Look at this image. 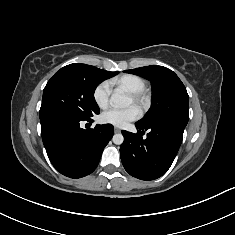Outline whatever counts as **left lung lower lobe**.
<instances>
[{
  "label": "left lung lower lobe",
  "instance_id": "0a47b994",
  "mask_svg": "<svg viewBox=\"0 0 235 235\" xmlns=\"http://www.w3.org/2000/svg\"><path fill=\"white\" fill-rule=\"evenodd\" d=\"M136 134L122 131L120 156L125 170L141 180H154L167 172L182 142L185 126L164 122L150 126L135 123ZM149 130L147 138L141 135ZM141 131V132H140Z\"/></svg>",
  "mask_w": 235,
  "mask_h": 235
}]
</instances>
